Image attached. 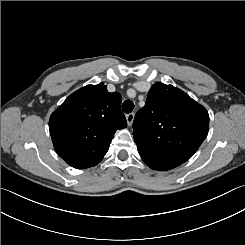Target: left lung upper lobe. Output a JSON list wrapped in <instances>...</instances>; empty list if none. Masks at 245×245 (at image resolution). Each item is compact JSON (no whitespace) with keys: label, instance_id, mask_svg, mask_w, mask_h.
I'll use <instances>...</instances> for the list:
<instances>
[{"label":"left lung upper lobe","instance_id":"1","mask_svg":"<svg viewBox=\"0 0 245 245\" xmlns=\"http://www.w3.org/2000/svg\"><path fill=\"white\" fill-rule=\"evenodd\" d=\"M207 110L182 90L155 83L145 106L135 115L133 137L137 149L171 153L187 161L207 136Z\"/></svg>","mask_w":245,"mask_h":245}]
</instances>
